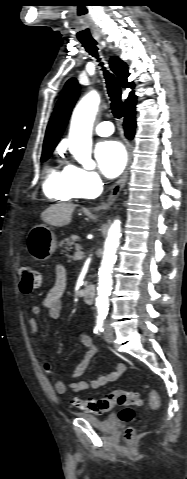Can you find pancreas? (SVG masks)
Listing matches in <instances>:
<instances>
[{"label": "pancreas", "mask_w": 187, "mask_h": 479, "mask_svg": "<svg viewBox=\"0 0 187 479\" xmlns=\"http://www.w3.org/2000/svg\"><path fill=\"white\" fill-rule=\"evenodd\" d=\"M79 241H80V239H79L78 236L72 235L68 238L63 239L60 242L59 246L64 247L65 249H70L73 245L80 246L78 243H76V242H79Z\"/></svg>", "instance_id": "cf45deb5"}]
</instances>
